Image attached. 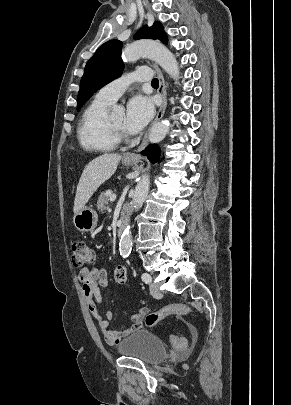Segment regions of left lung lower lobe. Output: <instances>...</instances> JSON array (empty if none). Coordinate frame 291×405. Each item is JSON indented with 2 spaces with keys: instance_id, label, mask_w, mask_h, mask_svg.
Instances as JSON below:
<instances>
[{
  "instance_id": "1",
  "label": "left lung lower lobe",
  "mask_w": 291,
  "mask_h": 405,
  "mask_svg": "<svg viewBox=\"0 0 291 405\" xmlns=\"http://www.w3.org/2000/svg\"><path fill=\"white\" fill-rule=\"evenodd\" d=\"M141 154L147 156L149 160L154 163L158 161L160 148L157 144H151L144 151H142Z\"/></svg>"
}]
</instances>
